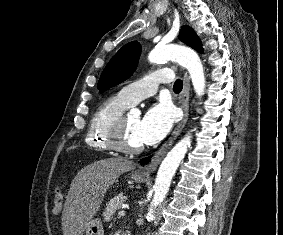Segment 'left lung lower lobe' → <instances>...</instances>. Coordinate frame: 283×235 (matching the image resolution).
<instances>
[{"label":"left lung lower lobe","mask_w":283,"mask_h":235,"mask_svg":"<svg viewBox=\"0 0 283 235\" xmlns=\"http://www.w3.org/2000/svg\"><path fill=\"white\" fill-rule=\"evenodd\" d=\"M149 160H150L149 157L148 158H144V159L140 160V163L141 164H145V163H148Z\"/></svg>","instance_id":"0a47b994"}]
</instances>
